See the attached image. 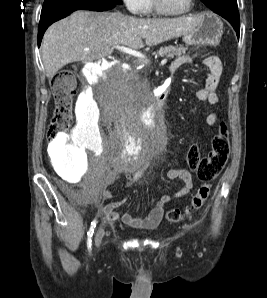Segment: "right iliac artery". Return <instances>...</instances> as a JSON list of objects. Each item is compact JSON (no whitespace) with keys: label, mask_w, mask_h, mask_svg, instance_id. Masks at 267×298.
Masks as SVG:
<instances>
[{"label":"right iliac artery","mask_w":267,"mask_h":298,"mask_svg":"<svg viewBox=\"0 0 267 298\" xmlns=\"http://www.w3.org/2000/svg\"><path fill=\"white\" fill-rule=\"evenodd\" d=\"M96 224H97V219H94L91 222L89 231L87 232V248H88L89 251H91L92 236H93V233H94V229L96 227Z\"/></svg>","instance_id":"right-iliac-artery-1"}]
</instances>
